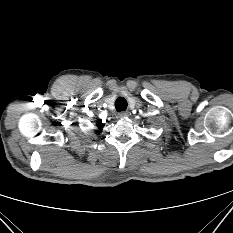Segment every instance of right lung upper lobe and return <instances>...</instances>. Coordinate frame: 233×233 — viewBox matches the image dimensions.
I'll use <instances>...</instances> for the list:
<instances>
[{
    "mask_svg": "<svg viewBox=\"0 0 233 233\" xmlns=\"http://www.w3.org/2000/svg\"><path fill=\"white\" fill-rule=\"evenodd\" d=\"M99 127H103V124L101 123V121H99V123L97 124Z\"/></svg>",
    "mask_w": 233,
    "mask_h": 233,
    "instance_id": "obj_1",
    "label": "right lung upper lobe"
}]
</instances>
